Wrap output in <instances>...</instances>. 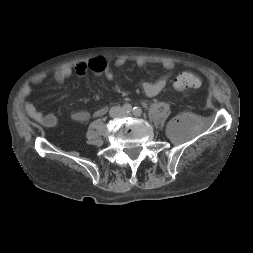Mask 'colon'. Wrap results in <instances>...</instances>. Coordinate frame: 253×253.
Listing matches in <instances>:
<instances>
[{
  "mask_svg": "<svg viewBox=\"0 0 253 253\" xmlns=\"http://www.w3.org/2000/svg\"><path fill=\"white\" fill-rule=\"evenodd\" d=\"M88 66L89 69L95 74L104 75L109 80L113 79V74L108 73V62L105 58H93L89 61ZM173 85L175 88L180 90H190L200 88L202 82L198 76L190 72H183L174 79Z\"/></svg>",
  "mask_w": 253,
  "mask_h": 253,
  "instance_id": "1",
  "label": "colon"
}]
</instances>
